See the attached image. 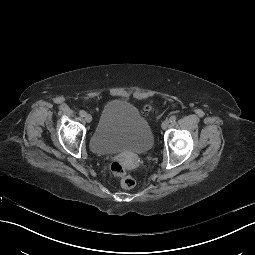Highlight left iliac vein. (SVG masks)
<instances>
[{"label":"left iliac vein","mask_w":255,"mask_h":255,"mask_svg":"<svg viewBox=\"0 0 255 255\" xmlns=\"http://www.w3.org/2000/svg\"><path fill=\"white\" fill-rule=\"evenodd\" d=\"M169 126V120H164L161 124L163 130L167 129Z\"/></svg>","instance_id":"1"}]
</instances>
